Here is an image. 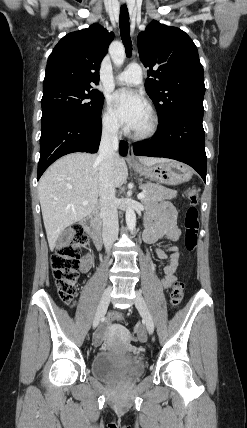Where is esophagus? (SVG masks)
<instances>
[{
    "mask_svg": "<svg viewBox=\"0 0 247 428\" xmlns=\"http://www.w3.org/2000/svg\"><path fill=\"white\" fill-rule=\"evenodd\" d=\"M127 160L129 163H132V164L136 163L132 146H129L128 154H127Z\"/></svg>",
    "mask_w": 247,
    "mask_h": 428,
    "instance_id": "1",
    "label": "esophagus"
}]
</instances>
